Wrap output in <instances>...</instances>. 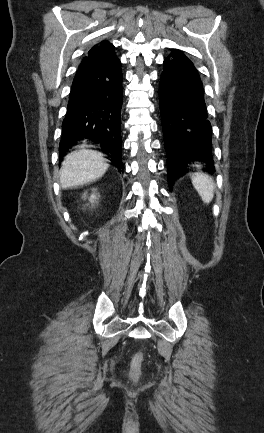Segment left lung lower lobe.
<instances>
[{
	"mask_svg": "<svg viewBox=\"0 0 264 433\" xmlns=\"http://www.w3.org/2000/svg\"><path fill=\"white\" fill-rule=\"evenodd\" d=\"M163 64L159 97L171 187L189 172L191 163H205V171L214 172L212 127L194 64L179 50H173Z\"/></svg>",
	"mask_w": 264,
	"mask_h": 433,
	"instance_id": "obj_1",
	"label": "left lung lower lobe"
}]
</instances>
